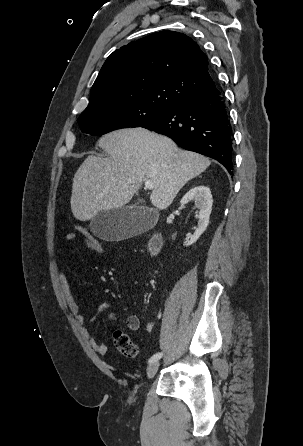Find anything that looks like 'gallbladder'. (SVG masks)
Masks as SVG:
<instances>
[{"mask_svg": "<svg viewBox=\"0 0 303 446\" xmlns=\"http://www.w3.org/2000/svg\"><path fill=\"white\" fill-rule=\"evenodd\" d=\"M154 213L137 206L121 207L95 215L90 223L91 232L104 240L124 239L148 229Z\"/></svg>", "mask_w": 303, "mask_h": 446, "instance_id": "1", "label": "gallbladder"}]
</instances>
